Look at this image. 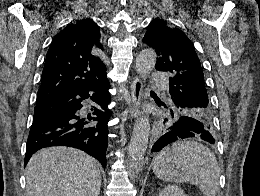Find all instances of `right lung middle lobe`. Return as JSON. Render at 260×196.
Wrapping results in <instances>:
<instances>
[{
    "instance_id": "1",
    "label": "right lung middle lobe",
    "mask_w": 260,
    "mask_h": 196,
    "mask_svg": "<svg viewBox=\"0 0 260 196\" xmlns=\"http://www.w3.org/2000/svg\"><path fill=\"white\" fill-rule=\"evenodd\" d=\"M56 115L50 114V113H43V112H38V111H34V119H33V124L32 125H36L51 119L56 118Z\"/></svg>"
}]
</instances>
